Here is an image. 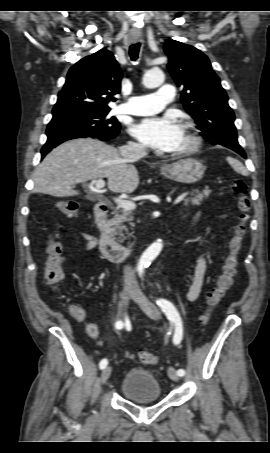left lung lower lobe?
Masks as SVG:
<instances>
[{"instance_id":"left-lung-lower-lobe-1","label":"left lung lower lobe","mask_w":270,"mask_h":453,"mask_svg":"<svg viewBox=\"0 0 270 453\" xmlns=\"http://www.w3.org/2000/svg\"><path fill=\"white\" fill-rule=\"evenodd\" d=\"M230 149H232L233 151L237 152L242 157L246 158V154H245L244 150L241 148V146H233Z\"/></svg>"}]
</instances>
